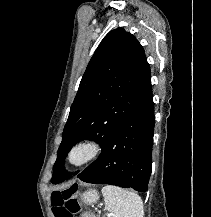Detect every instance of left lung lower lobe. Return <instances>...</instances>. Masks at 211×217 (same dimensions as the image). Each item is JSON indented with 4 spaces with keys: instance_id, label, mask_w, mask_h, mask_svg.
Instances as JSON below:
<instances>
[{
    "instance_id": "1",
    "label": "left lung lower lobe",
    "mask_w": 211,
    "mask_h": 217,
    "mask_svg": "<svg viewBox=\"0 0 211 217\" xmlns=\"http://www.w3.org/2000/svg\"><path fill=\"white\" fill-rule=\"evenodd\" d=\"M152 94L110 134L100 157L77 177L87 183H106L147 191L154 135Z\"/></svg>"
}]
</instances>
